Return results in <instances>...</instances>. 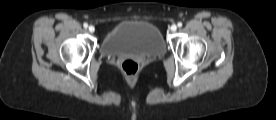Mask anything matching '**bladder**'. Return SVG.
<instances>
[{
    "label": "bladder",
    "mask_w": 276,
    "mask_h": 120,
    "mask_svg": "<svg viewBox=\"0 0 276 120\" xmlns=\"http://www.w3.org/2000/svg\"><path fill=\"white\" fill-rule=\"evenodd\" d=\"M101 52L115 57L126 54L161 56L166 43L160 29L142 20H122L111 27L101 42Z\"/></svg>",
    "instance_id": "1"
}]
</instances>
